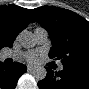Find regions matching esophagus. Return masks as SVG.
Here are the masks:
<instances>
[{"mask_svg": "<svg viewBox=\"0 0 89 89\" xmlns=\"http://www.w3.org/2000/svg\"><path fill=\"white\" fill-rule=\"evenodd\" d=\"M28 72H31L33 70L32 66L31 65H28Z\"/></svg>", "mask_w": 89, "mask_h": 89, "instance_id": "1", "label": "esophagus"}]
</instances>
